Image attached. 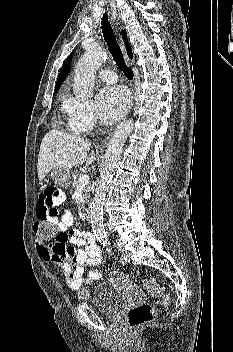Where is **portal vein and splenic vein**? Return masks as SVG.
<instances>
[{
    "instance_id": "obj_1",
    "label": "portal vein and splenic vein",
    "mask_w": 233,
    "mask_h": 352,
    "mask_svg": "<svg viewBox=\"0 0 233 352\" xmlns=\"http://www.w3.org/2000/svg\"><path fill=\"white\" fill-rule=\"evenodd\" d=\"M79 185H86L89 182V176L86 174L80 175L78 177Z\"/></svg>"
}]
</instances>
